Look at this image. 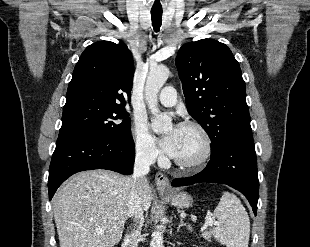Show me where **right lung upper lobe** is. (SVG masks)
<instances>
[{
    "label": "right lung upper lobe",
    "instance_id": "cb5924a9",
    "mask_svg": "<svg viewBox=\"0 0 310 247\" xmlns=\"http://www.w3.org/2000/svg\"><path fill=\"white\" fill-rule=\"evenodd\" d=\"M133 58L124 43L99 41L77 62L63 110L79 106L122 108L130 102Z\"/></svg>",
    "mask_w": 310,
    "mask_h": 247
}]
</instances>
